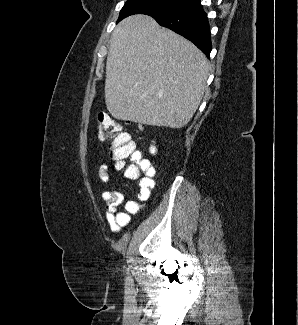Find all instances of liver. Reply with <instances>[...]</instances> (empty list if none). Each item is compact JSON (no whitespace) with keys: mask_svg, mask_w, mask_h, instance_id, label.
<instances>
[{"mask_svg":"<svg viewBox=\"0 0 298 325\" xmlns=\"http://www.w3.org/2000/svg\"><path fill=\"white\" fill-rule=\"evenodd\" d=\"M209 62L184 36L147 14L116 24L106 60L105 104L118 120L182 128L206 88Z\"/></svg>","mask_w":298,"mask_h":325,"instance_id":"liver-1","label":"liver"}]
</instances>
